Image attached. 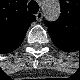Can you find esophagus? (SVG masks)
I'll return each instance as SVG.
<instances>
[{"mask_svg": "<svg viewBox=\"0 0 80 80\" xmlns=\"http://www.w3.org/2000/svg\"><path fill=\"white\" fill-rule=\"evenodd\" d=\"M42 18H43V13H42V12H38V13L36 14V19H37V21H41Z\"/></svg>", "mask_w": 80, "mask_h": 80, "instance_id": "obj_1", "label": "esophagus"}]
</instances>
